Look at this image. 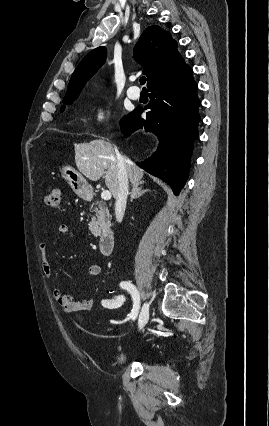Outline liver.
Here are the masks:
<instances>
[{
  "instance_id": "obj_1",
  "label": "liver",
  "mask_w": 269,
  "mask_h": 426,
  "mask_svg": "<svg viewBox=\"0 0 269 426\" xmlns=\"http://www.w3.org/2000/svg\"><path fill=\"white\" fill-rule=\"evenodd\" d=\"M128 178L132 184L142 183L144 172L124 156ZM75 162L78 170L91 181L105 174V184L113 197L117 192L118 168L116 152L112 144L102 139L75 145ZM106 170V171H105Z\"/></svg>"
}]
</instances>
